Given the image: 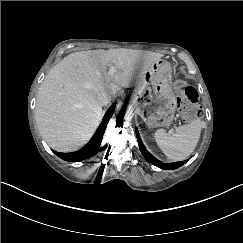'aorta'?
<instances>
[{"instance_id": "aorta-1", "label": "aorta", "mask_w": 243, "mask_h": 243, "mask_svg": "<svg viewBox=\"0 0 243 243\" xmlns=\"http://www.w3.org/2000/svg\"><path fill=\"white\" fill-rule=\"evenodd\" d=\"M114 109L116 114L124 119L128 118L132 112L129 103L123 100L117 102Z\"/></svg>"}]
</instances>
